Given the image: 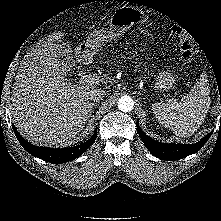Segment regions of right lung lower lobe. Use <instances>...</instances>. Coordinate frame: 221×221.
<instances>
[{
  "mask_svg": "<svg viewBox=\"0 0 221 221\" xmlns=\"http://www.w3.org/2000/svg\"><path fill=\"white\" fill-rule=\"evenodd\" d=\"M13 130L18 141L28 153H30L32 156H35L53 164H61L79 157L94 143L97 136V129H95L92 137L88 141L80 145L63 149H53L48 147H39L32 145L18 133L14 125Z\"/></svg>",
  "mask_w": 221,
  "mask_h": 221,
  "instance_id": "obj_1",
  "label": "right lung lower lobe"
}]
</instances>
